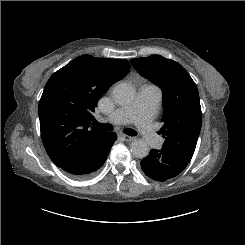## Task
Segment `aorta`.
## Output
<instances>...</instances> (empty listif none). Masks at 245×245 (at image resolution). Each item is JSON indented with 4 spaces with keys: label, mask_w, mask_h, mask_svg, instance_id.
<instances>
[{
    "label": "aorta",
    "mask_w": 245,
    "mask_h": 245,
    "mask_svg": "<svg viewBox=\"0 0 245 245\" xmlns=\"http://www.w3.org/2000/svg\"><path fill=\"white\" fill-rule=\"evenodd\" d=\"M135 97L134 88L126 83L117 84L113 89V98L119 105L129 104ZM131 154L139 159L145 158L149 154L148 144L141 139L134 140L130 145Z\"/></svg>",
    "instance_id": "1"
}]
</instances>
